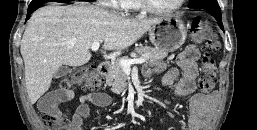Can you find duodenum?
<instances>
[{
	"instance_id": "duodenum-1",
	"label": "duodenum",
	"mask_w": 257,
	"mask_h": 130,
	"mask_svg": "<svg viewBox=\"0 0 257 130\" xmlns=\"http://www.w3.org/2000/svg\"><path fill=\"white\" fill-rule=\"evenodd\" d=\"M110 69H111V65L108 61L102 62L99 65V72L103 77H105L109 74Z\"/></svg>"
}]
</instances>
